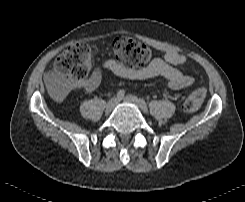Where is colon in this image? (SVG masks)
I'll list each match as a JSON object with an SVG mask.
<instances>
[{
    "mask_svg": "<svg viewBox=\"0 0 245 202\" xmlns=\"http://www.w3.org/2000/svg\"><path fill=\"white\" fill-rule=\"evenodd\" d=\"M113 51L117 61L130 68L144 65L151 57V49L131 35H122L114 40ZM55 85L65 79L80 80L88 76L92 69L89 47L86 43L70 45L54 62ZM207 95V89L201 87L193 91L183 103V110L188 113L196 111Z\"/></svg>",
    "mask_w": 245,
    "mask_h": 202,
    "instance_id": "obj_1",
    "label": "colon"
}]
</instances>
